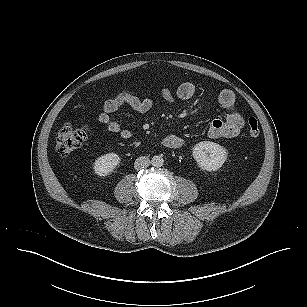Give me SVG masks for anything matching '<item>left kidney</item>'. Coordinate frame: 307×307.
<instances>
[{
	"label": "left kidney",
	"mask_w": 307,
	"mask_h": 307,
	"mask_svg": "<svg viewBox=\"0 0 307 307\" xmlns=\"http://www.w3.org/2000/svg\"><path fill=\"white\" fill-rule=\"evenodd\" d=\"M192 155L199 167L209 172L220 169L227 159L226 149L210 141L197 143Z\"/></svg>",
	"instance_id": "1"
}]
</instances>
